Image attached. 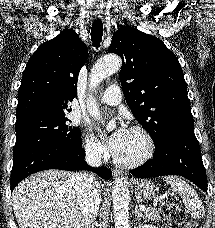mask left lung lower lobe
Wrapping results in <instances>:
<instances>
[{
	"label": "left lung lower lobe",
	"instance_id": "1",
	"mask_svg": "<svg viewBox=\"0 0 215 228\" xmlns=\"http://www.w3.org/2000/svg\"><path fill=\"white\" fill-rule=\"evenodd\" d=\"M136 178L181 175L207 192V177L193 128L168 134L155 145L153 159L130 170Z\"/></svg>",
	"mask_w": 215,
	"mask_h": 228
}]
</instances>
